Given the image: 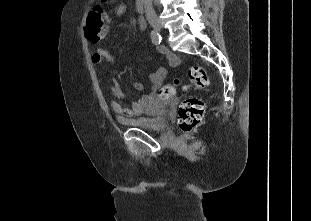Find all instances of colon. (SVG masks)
I'll list each match as a JSON object with an SVG mask.
<instances>
[{
	"mask_svg": "<svg viewBox=\"0 0 311 221\" xmlns=\"http://www.w3.org/2000/svg\"><path fill=\"white\" fill-rule=\"evenodd\" d=\"M104 19L103 22L101 20ZM87 37L92 43H97L107 28L108 15L100 5L92 7L88 13ZM102 30V34L100 35ZM208 74L202 67H190L188 70V82L182 85V89L188 91L191 89H203L208 85ZM166 88H157V99H170L174 85H166ZM206 109L201 99L189 97L180 102L177 124L184 133L191 132L199 127L204 120Z\"/></svg>",
	"mask_w": 311,
	"mask_h": 221,
	"instance_id": "1",
	"label": "colon"
}]
</instances>
